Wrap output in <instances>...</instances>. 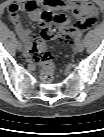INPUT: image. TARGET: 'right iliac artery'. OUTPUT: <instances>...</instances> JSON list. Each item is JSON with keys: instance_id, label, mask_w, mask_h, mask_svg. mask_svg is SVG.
Instances as JSON below:
<instances>
[{"instance_id": "82829eb1", "label": "right iliac artery", "mask_w": 104, "mask_h": 137, "mask_svg": "<svg viewBox=\"0 0 104 137\" xmlns=\"http://www.w3.org/2000/svg\"><path fill=\"white\" fill-rule=\"evenodd\" d=\"M18 36H19V38H20V42H21V43H24V42H25V39H24V38H22V36H21V34H20V33H18Z\"/></svg>"}]
</instances>
